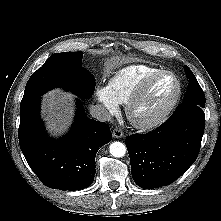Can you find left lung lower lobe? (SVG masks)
<instances>
[{
    "mask_svg": "<svg viewBox=\"0 0 221 221\" xmlns=\"http://www.w3.org/2000/svg\"><path fill=\"white\" fill-rule=\"evenodd\" d=\"M204 128L203 108L182 103L155 130L127 136L135 183L144 189L173 183L196 160Z\"/></svg>",
    "mask_w": 221,
    "mask_h": 221,
    "instance_id": "left-lung-lower-lobe-1",
    "label": "left lung lower lobe"
}]
</instances>
